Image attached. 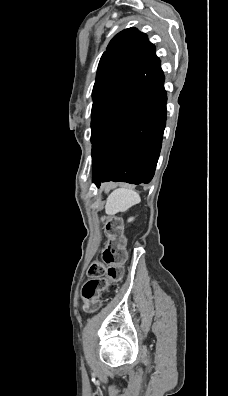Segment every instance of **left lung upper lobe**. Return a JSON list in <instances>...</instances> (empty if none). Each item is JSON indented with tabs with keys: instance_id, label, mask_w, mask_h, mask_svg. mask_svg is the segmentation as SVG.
<instances>
[{
	"instance_id": "left-lung-upper-lobe-1",
	"label": "left lung upper lobe",
	"mask_w": 228,
	"mask_h": 396,
	"mask_svg": "<svg viewBox=\"0 0 228 396\" xmlns=\"http://www.w3.org/2000/svg\"><path fill=\"white\" fill-rule=\"evenodd\" d=\"M155 50L146 34L136 28L118 33L103 53L93 87L91 141L118 100L141 77Z\"/></svg>"
}]
</instances>
